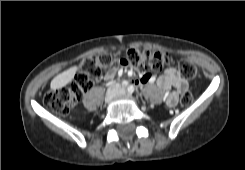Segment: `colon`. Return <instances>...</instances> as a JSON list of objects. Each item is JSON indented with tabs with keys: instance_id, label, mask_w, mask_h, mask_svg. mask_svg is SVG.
Here are the masks:
<instances>
[{
	"instance_id": "colon-1",
	"label": "colon",
	"mask_w": 245,
	"mask_h": 170,
	"mask_svg": "<svg viewBox=\"0 0 245 170\" xmlns=\"http://www.w3.org/2000/svg\"><path fill=\"white\" fill-rule=\"evenodd\" d=\"M118 64L127 68L159 71L170 64V57L164 52L145 51L136 48H130L123 54L113 55L106 53L89 56L81 61L75 81L70 86L45 93L43 98L44 105L60 115L69 114L74 103L99 78L101 71L104 68ZM178 69L180 74L187 79H194L197 76L196 67L187 59H182L179 62ZM192 100L193 96L190 92H184L180 96V103L184 106L191 104Z\"/></svg>"
}]
</instances>
